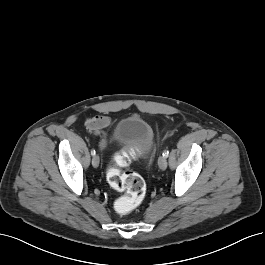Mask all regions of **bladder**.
Instances as JSON below:
<instances>
[{"label":"bladder","instance_id":"31cf9c89","mask_svg":"<svg viewBox=\"0 0 265 265\" xmlns=\"http://www.w3.org/2000/svg\"><path fill=\"white\" fill-rule=\"evenodd\" d=\"M114 142L117 146H131L134 155L146 156L154 143L152 127L140 116L125 117L116 126Z\"/></svg>","mask_w":265,"mask_h":265}]
</instances>
